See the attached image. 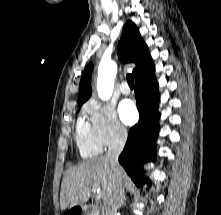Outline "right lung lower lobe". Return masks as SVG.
Instances as JSON below:
<instances>
[{"label":"right lung lower lobe","mask_w":221,"mask_h":215,"mask_svg":"<svg viewBox=\"0 0 221 215\" xmlns=\"http://www.w3.org/2000/svg\"><path fill=\"white\" fill-rule=\"evenodd\" d=\"M154 72L135 81L136 104L140 114L138 124L129 130L128 139L119 162L137 185H143L146 177L142 172L144 162L155 155V141L159 132V94Z\"/></svg>","instance_id":"1"}]
</instances>
